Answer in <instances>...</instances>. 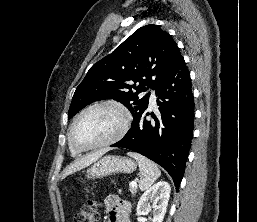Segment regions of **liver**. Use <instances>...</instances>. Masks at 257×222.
I'll return each mask as SVG.
<instances>
[{"label": "liver", "mask_w": 257, "mask_h": 222, "mask_svg": "<svg viewBox=\"0 0 257 222\" xmlns=\"http://www.w3.org/2000/svg\"><path fill=\"white\" fill-rule=\"evenodd\" d=\"M109 149H101L99 151H96L95 153H92L90 155H87L86 157H83L74 163H72L70 166H68L63 174V178L67 177L68 175L75 173L76 171H79L93 162L97 161L102 155H104L106 152H108Z\"/></svg>", "instance_id": "6515ba94"}]
</instances>
